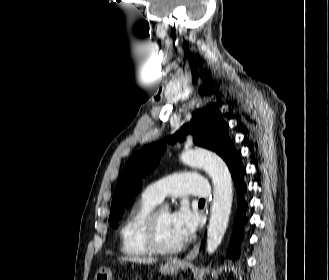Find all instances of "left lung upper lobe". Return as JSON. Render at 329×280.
Listing matches in <instances>:
<instances>
[{
  "label": "left lung upper lobe",
  "instance_id": "1",
  "mask_svg": "<svg viewBox=\"0 0 329 280\" xmlns=\"http://www.w3.org/2000/svg\"><path fill=\"white\" fill-rule=\"evenodd\" d=\"M228 127L219 114L207 109H199L193 113L190 123L184 125L171 139V142H175L176 138L183 140L184 133H191L196 145L215 151L224 159L230 169L238 164L241 158L227 134ZM169 140L170 137H166L157 145H147L139 152L134 153L128 160L113 194L109 217V224L112 227H118V221L124 213L125 207H128L133 197L141 190L142 182L139 177H144L153 170L159 161L158 154L163 152L165 142Z\"/></svg>",
  "mask_w": 329,
  "mask_h": 280
}]
</instances>
